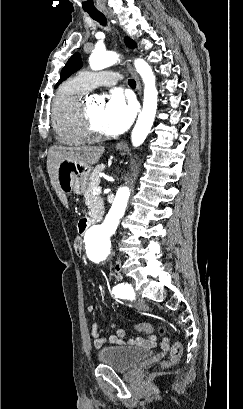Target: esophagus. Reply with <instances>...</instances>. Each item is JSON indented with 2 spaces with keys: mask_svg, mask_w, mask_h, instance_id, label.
<instances>
[{
  "mask_svg": "<svg viewBox=\"0 0 243 409\" xmlns=\"http://www.w3.org/2000/svg\"><path fill=\"white\" fill-rule=\"evenodd\" d=\"M104 13L108 16V18H111V15L109 14L108 11H104ZM127 69L131 73V75L134 77V79L136 80L138 94L141 97L142 91H141V83H140L139 77H138L137 73L134 71V69L132 68V66L129 63H127ZM125 145L126 144H125L124 141H120L117 144V149H123L125 147Z\"/></svg>",
  "mask_w": 243,
  "mask_h": 409,
  "instance_id": "esophagus-1",
  "label": "esophagus"
}]
</instances>
